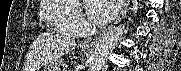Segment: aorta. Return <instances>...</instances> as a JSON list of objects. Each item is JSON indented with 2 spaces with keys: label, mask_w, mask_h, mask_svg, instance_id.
Returning <instances> with one entry per match:
<instances>
[{
  "label": "aorta",
  "mask_w": 181,
  "mask_h": 71,
  "mask_svg": "<svg viewBox=\"0 0 181 71\" xmlns=\"http://www.w3.org/2000/svg\"><path fill=\"white\" fill-rule=\"evenodd\" d=\"M125 29V25H119L100 38L90 57L89 71H103L109 54L122 37Z\"/></svg>",
  "instance_id": "aorta-1"
}]
</instances>
